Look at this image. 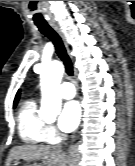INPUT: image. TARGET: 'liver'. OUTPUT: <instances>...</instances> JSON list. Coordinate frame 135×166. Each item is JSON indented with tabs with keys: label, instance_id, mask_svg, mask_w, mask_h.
<instances>
[{
	"label": "liver",
	"instance_id": "1",
	"mask_svg": "<svg viewBox=\"0 0 135 166\" xmlns=\"http://www.w3.org/2000/svg\"><path fill=\"white\" fill-rule=\"evenodd\" d=\"M35 161L45 159L43 162L47 166H65V155L56 148L44 145H22L11 149L6 166H10L14 160Z\"/></svg>",
	"mask_w": 135,
	"mask_h": 166
}]
</instances>
